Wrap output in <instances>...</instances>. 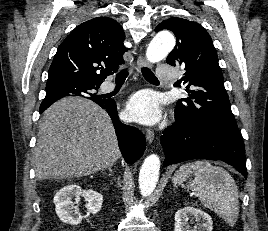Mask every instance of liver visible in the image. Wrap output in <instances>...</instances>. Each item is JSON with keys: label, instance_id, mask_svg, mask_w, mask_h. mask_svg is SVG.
<instances>
[{"label": "liver", "instance_id": "6515ba94", "mask_svg": "<svg viewBox=\"0 0 268 231\" xmlns=\"http://www.w3.org/2000/svg\"><path fill=\"white\" fill-rule=\"evenodd\" d=\"M120 156L112 121L93 101L67 97L43 113L33 154L38 180L88 176Z\"/></svg>", "mask_w": 268, "mask_h": 231}]
</instances>
